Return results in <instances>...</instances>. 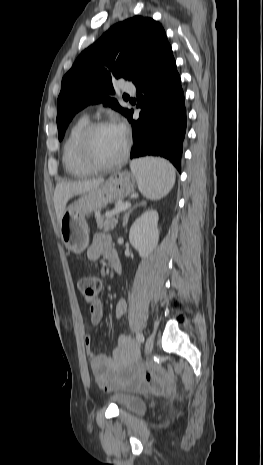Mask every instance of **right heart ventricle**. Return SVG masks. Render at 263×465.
Returning <instances> with one entry per match:
<instances>
[{
	"mask_svg": "<svg viewBox=\"0 0 263 465\" xmlns=\"http://www.w3.org/2000/svg\"><path fill=\"white\" fill-rule=\"evenodd\" d=\"M90 123L86 116L80 117L68 131L62 148V162L66 172L75 178L88 176L93 171L87 168L78 155V140L83 129Z\"/></svg>",
	"mask_w": 263,
	"mask_h": 465,
	"instance_id": "1",
	"label": "right heart ventricle"
}]
</instances>
